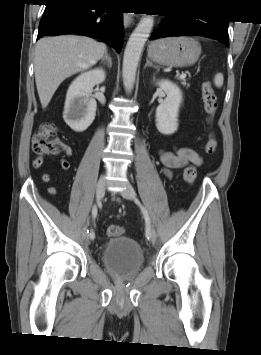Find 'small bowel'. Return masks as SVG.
Instances as JSON below:
<instances>
[{"label": "small bowel", "instance_id": "small-bowel-1", "mask_svg": "<svg viewBox=\"0 0 261 355\" xmlns=\"http://www.w3.org/2000/svg\"><path fill=\"white\" fill-rule=\"evenodd\" d=\"M159 156L162 165V171L167 177H171L172 171L174 169L183 168L189 163L195 164L197 166H200L203 163L199 153L190 147H173L171 150L161 149L159 151ZM42 163V158H36L32 162V167L34 169H38ZM59 164L60 167L65 171L70 168V164L66 159H60ZM51 179L52 177L50 174H44L42 176V180L44 182H50ZM49 192L51 194H55L56 188L50 187Z\"/></svg>", "mask_w": 261, "mask_h": 355}]
</instances>
